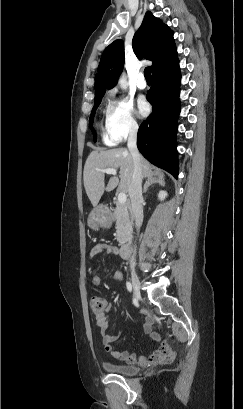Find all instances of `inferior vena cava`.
<instances>
[{
	"label": "inferior vena cava",
	"mask_w": 243,
	"mask_h": 409,
	"mask_svg": "<svg viewBox=\"0 0 243 409\" xmlns=\"http://www.w3.org/2000/svg\"><path fill=\"white\" fill-rule=\"evenodd\" d=\"M137 132H138V126L133 125L129 132L127 146L132 156L133 165H134L132 182L129 187V196L131 200L132 213L135 219V226L137 230H139L143 222V206H142L143 172H142L141 157L137 149ZM135 254H136V249H134L133 251V255L130 259V263H134Z\"/></svg>",
	"instance_id": "inferior-vena-cava-1"
}]
</instances>
